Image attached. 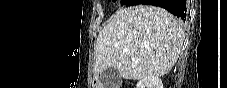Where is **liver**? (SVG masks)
<instances>
[{"mask_svg": "<svg viewBox=\"0 0 227 88\" xmlns=\"http://www.w3.org/2000/svg\"><path fill=\"white\" fill-rule=\"evenodd\" d=\"M183 39L180 22L165 9L141 4L120 8L97 37L94 71L115 68L133 80L163 76L176 63Z\"/></svg>", "mask_w": 227, "mask_h": 88, "instance_id": "liver-1", "label": "liver"}]
</instances>
